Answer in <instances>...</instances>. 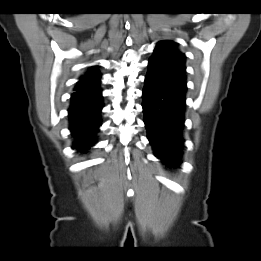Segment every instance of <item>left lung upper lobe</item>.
Instances as JSON below:
<instances>
[{
  "mask_svg": "<svg viewBox=\"0 0 261 261\" xmlns=\"http://www.w3.org/2000/svg\"><path fill=\"white\" fill-rule=\"evenodd\" d=\"M185 58V54L177 50V45L173 41L165 40L156 44L149 60L185 72Z\"/></svg>",
  "mask_w": 261,
  "mask_h": 261,
  "instance_id": "1",
  "label": "left lung upper lobe"
}]
</instances>
